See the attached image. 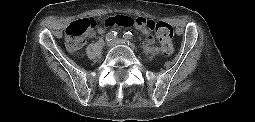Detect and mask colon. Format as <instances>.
<instances>
[{
    "label": "colon",
    "instance_id": "colon-1",
    "mask_svg": "<svg viewBox=\"0 0 255 122\" xmlns=\"http://www.w3.org/2000/svg\"><path fill=\"white\" fill-rule=\"evenodd\" d=\"M110 22L119 27H135L144 31H153L159 39L161 51L165 56H170L174 51V31L171 25L166 22L155 21L145 17L133 18L125 15L110 17ZM95 26V21L88 18L70 23L66 28L67 47L72 51L78 50L86 36L94 30Z\"/></svg>",
    "mask_w": 255,
    "mask_h": 122
}]
</instances>
